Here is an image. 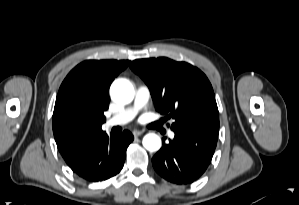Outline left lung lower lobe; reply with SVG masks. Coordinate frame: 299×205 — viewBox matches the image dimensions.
Segmentation results:
<instances>
[{
  "instance_id": "1",
  "label": "left lung lower lobe",
  "mask_w": 299,
  "mask_h": 205,
  "mask_svg": "<svg viewBox=\"0 0 299 205\" xmlns=\"http://www.w3.org/2000/svg\"><path fill=\"white\" fill-rule=\"evenodd\" d=\"M174 132V139L164 144L152 158L153 167L171 183H192L212 160L219 127L185 128Z\"/></svg>"
}]
</instances>
